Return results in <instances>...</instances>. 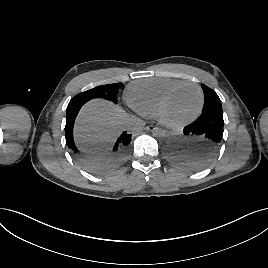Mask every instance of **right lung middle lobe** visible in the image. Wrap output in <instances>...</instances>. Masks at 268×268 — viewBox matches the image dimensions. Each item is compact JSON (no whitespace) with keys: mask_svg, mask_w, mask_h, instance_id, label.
Here are the masks:
<instances>
[{"mask_svg":"<svg viewBox=\"0 0 268 268\" xmlns=\"http://www.w3.org/2000/svg\"><path fill=\"white\" fill-rule=\"evenodd\" d=\"M122 83L108 84L97 86L93 89L87 90L85 92L79 93L74 98L71 99L69 103H76L80 101H89L93 98H104L114 103H117V92Z\"/></svg>","mask_w":268,"mask_h":268,"instance_id":"obj_1","label":"right lung middle lobe"}]
</instances>
